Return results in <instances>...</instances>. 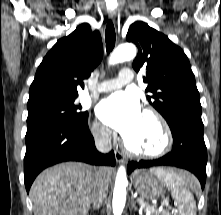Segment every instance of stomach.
Returning a JSON list of instances; mask_svg holds the SVG:
<instances>
[{"label": "stomach", "mask_w": 221, "mask_h": 215, "mask_svg": "<svg viewBox=\"0 0 221 215\" xmlns=\"http://www.w3.org/2000/svg\"><path fill=\"white\" fill-rule=\"evenodd\" d=\"M162 169H151L149 171H136L133 174V182L136 191L141 196L153 200L164 195L165 183L157 171Z\"/></svg>", "instance_id": "obj_1"}]
</instances>
